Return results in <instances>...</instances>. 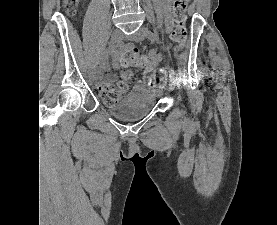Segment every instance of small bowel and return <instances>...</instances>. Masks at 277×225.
I'll use <instances>...</instances> for the list:
<instances>
[{
    "label": "small bowel",
    "instance_id": "small-bowel-1",
    "mask_svg": "<svg viewBox=\"0 0 277 225\" xmlns=\"http://www.w3.org/2000/svg\"><path fill=\"white\" fill-rule=\"evenodd\" d=\"M172 0H154L155 8L158 14V19L161 20L163 17L166 21V26L168 29L171 28V13H170V5ZM150 64L148 65L147 70H154L162 60L160 54L155 51L149 52ZM120 64L118 62L117 56H115V60L113 62V67L115 69L120 68ZM99 78H102L104 82L111 80L109 76V65L107 63H102L99 67ZM142 85H137L136 88H141Z\"/></svg>",
    "mask_w": 277,
    "mask_h": 225
}]
</instances>
